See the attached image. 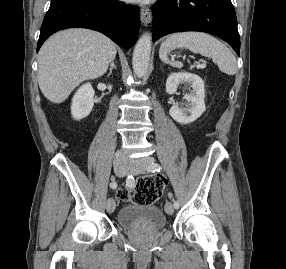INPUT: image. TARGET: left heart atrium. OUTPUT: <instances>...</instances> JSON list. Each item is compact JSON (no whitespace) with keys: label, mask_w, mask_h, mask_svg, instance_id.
<instances>
[{"label":"left heart atrium","mask_w":286,"mask_h":269,"mask_svg":"<svg viewBox=\"0 0 286 269\" xmlns=\"http://www.w3.org/2000/svg\"><path fill=\"white\" fill-rule=\"evenodd\" d=\"M125 1L135 2V3H143V2H147V1H149V0H125Z\"/></svg>","instance_id":"39dd6f15"}]
</instances>
